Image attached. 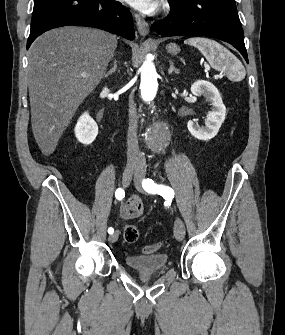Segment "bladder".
Masks as SVG:
<instances>
[{
  "mask_svg": "<svg viewBox=\"0 0 285 335\" xmlns=\"http://www.w3.org/2000/svg\"><path fill=\"white\" fill-rule=\"evenodd\" d=\"M165 258H171L166 251L153 252L145 255L127 253L125 265H132L134 273L159 272V265H165Z\"/></svg>",
  "mask_w": 285,
  "mask_h": 335,
  "instance_id": "31cf9c89",
  "label": "bladder"
}]
</instances>
